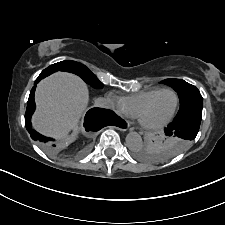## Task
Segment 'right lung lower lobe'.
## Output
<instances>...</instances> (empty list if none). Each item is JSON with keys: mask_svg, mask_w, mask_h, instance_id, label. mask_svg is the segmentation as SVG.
Masks as SVG:
<instances>
[{"mask_svg": "<svg viewBox=\"0 0 225 225\" xmlns=\"http://www.w3.org/2000/svg\"><path fill=\"white\" fill-rule=\"evenodd\" d=\"M51 71H45L43 70L42 73L38 76V78L35 80L34 86L30 92L29 99L27 102V109L25 113V126L27 131L30 133L31 138L34 141H38L46 150L53 151L56 147L55 143L53 142L54 139L45 137L38 132H36L31 127V116L33 112L35 111V101H34V93L36 89V84L39 83V81L48 75L52 74ZM119 118L114 112L106 109L101 108H93L90 109L86 116H85V122L84 126L87 131H96L101 129L102 127L106 126V124L111 121L112 119Z\"/></svg>", "mask_w": 225, "mask_h": 225, "instance_id": "1", "label": "right lung lower lobe"}]
</instances>
